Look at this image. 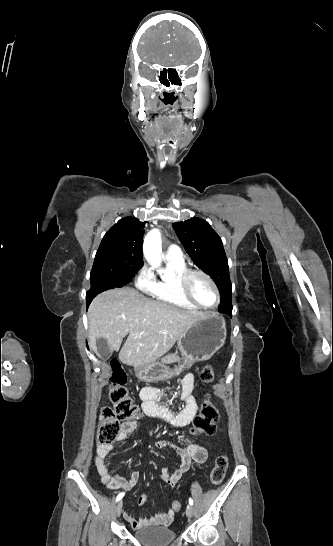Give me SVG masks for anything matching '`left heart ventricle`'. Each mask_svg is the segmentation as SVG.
Returning a JSON list of instances; mask_svg holds the SVG:
<instances>
[{
	"label": "left heart ventricle",
	"instance_id": "1",
	"mask_svg": "<svg viewBox=\"0 0 333 546\" xmlns=\"http://www.w3.org/2000/svg\"><path fill=\"white\" fill-rule=\"evenodd\" d=\"M190 291L194 298L205 306L216 303V293L212 285L202 276L193 275L189 283Z\"/></svg>",
	"mask_w": 333,
	"mask_h": 546
}]
</instances>
